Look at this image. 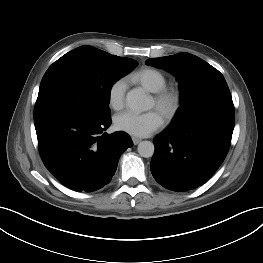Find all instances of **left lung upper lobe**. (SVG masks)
<instances>
[{"mask_svg":"<svg viewBox=\"0 0 263 263\" xmlns=\"http://www.w3.org/2000/svg\"><path fill=\"white\" fill-rule=\"evenodd\" d=\"M146 64L171 72L180 82L181 106L172 123L191 120L216 110H234L223 75L199 57L179 53L150 58Z\"/></svg>","mask_w":263,"mask_h":263,"instance_id":"5c2ea615","label":"left lung upper lobe"}]
</instances>
